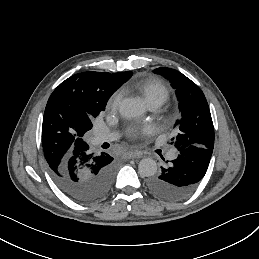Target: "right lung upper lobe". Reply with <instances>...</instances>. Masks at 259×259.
Here are the masks:
<instances>
[{"label": "right lung upper lobe", "instance_id": "1", "mask_svg": "<svg viewBox=\"0 0 259 259\" xmlns=\"http://www.w3.org/2000/svg\"><path fill=\"white\" fill-rule=\"evenodd\" d=\"M131 75V71L82 72L69 77L53 91L42 124V145L50 169L56 170L87 145L84 134L92 128V120Z\"/></svg>", "mask_w": 259, "mask_h": 259}]
</instances>
